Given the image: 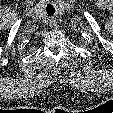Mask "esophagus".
Listing matches in <instances>:
<instances>
[{
	"instance_id": "34e87169",
	"label": "esophagus",
	"mask_w": 113,
	"mask_h": 113,
	"mask_svg": "<svg viewBox=\"0 0 113 113\" xmlns=\"http://www.w3.org/2000/svg\"><path fill=\"white\" fill-rule=\"evenodd\" d=\"M49 25L51 28H56L57 22H56V19L54 17L50 18Z\"/></svg>"
}]
</instances>
